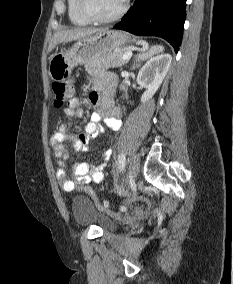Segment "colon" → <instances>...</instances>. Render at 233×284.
Here are the masks:
<instances>
[{
	"label": "colon",
	"mask_w": 233,
	"mask_h": 284,
	"mask_svg": "<svg viewBox=\"0 0 233 284\" xmlns=\"http://www.w3.org/2000/svg\"><path fill=\"white\" fill-rule=\"evenodd\" d=\"M161 52V47L160 46H152L150 47L146 52L141 54L139 56L140 60H144L147 58H150L152 56L157 55L158 53ZM53 90V102L54 106L56 108H61L63 107L67 101L72 97L74 93V85L71 80H61L57 81L53 84L52 86ZM81 191L85 192L90 196V198L93 200V202L96 204L99 210L105 211L107 213H115V214H120V211H115L112 212L109 210L108 206L103 204L96 193L88 186H83L81 187ZM138 211V210H136Z\"/></svg>",
	"instance_id": "obj_1"
}]
</instances>
